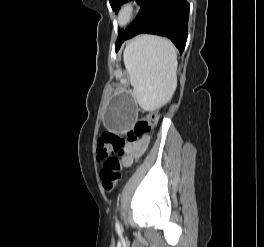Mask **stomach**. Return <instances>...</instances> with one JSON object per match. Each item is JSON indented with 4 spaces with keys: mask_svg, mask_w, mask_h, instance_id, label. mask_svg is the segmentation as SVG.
Returning <instances> with one entry per match:
<instances>
[{
    "mask_svg": "<svg viewBox=\"0 0 264 247\" xmlns=\"http://www.w3.org/2000/svg\"><path fill=\"white\" fill-rule=\"evenodd\" d=\"M137 113L136 94H117L108 104L105 122L117 136H123V131L137 123Z\"/></svg>",
    "mask_w": 264,
    "mask_h": 247,
    "instance_id": "stomach-1",
    "label": "stomach"
}]
</instances>
